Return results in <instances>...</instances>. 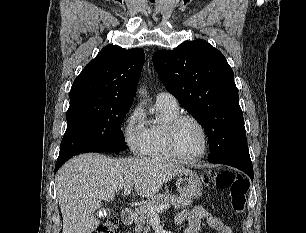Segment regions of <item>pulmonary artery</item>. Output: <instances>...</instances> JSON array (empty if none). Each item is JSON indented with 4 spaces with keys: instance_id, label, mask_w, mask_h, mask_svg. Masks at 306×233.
I'll return each mask as SVG.
<instances>
[{
    "instance_id": "pulmonary-artery-1",
    "label": "pulmonary artery",
    "mask_w": 306,
    "mask_h": 233,
    "mask_svg": "<svg viewBox=\"0 0 306 233\" xmlns=\"http://www.w3.org/2000/svg\"><path fill=\"white\" fill-rule=\"evenodd\" d=\"M156 103L168 105L171 107H178L176 98L168 92H160L156 96Z\"/></svg>"
}]
</instances>
